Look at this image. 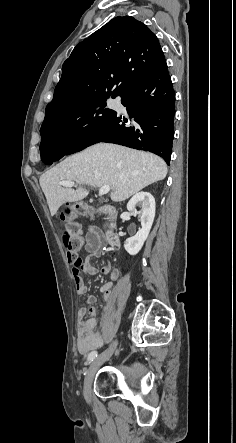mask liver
<instances>
[{"mask_svg": "<svg viewBox=\"0 0 236 443\" xmlns=\"http://www.w3.org/2000/svg\"><path fill=\"white\" fill-rule=\"evenodd\" d=\"M167 166L162 158L115 144L99 143L67 157L40 177L51 216L66 202L88 196L82 185L111 188V200L121 202L148 185L163 180ZM61 181L79 184L76 190L61 187Z\"/></svg>", "mask_w": 236, "mask_h": 443, "instance_id": "obj_1", "label": "liver"}]
</instances>
